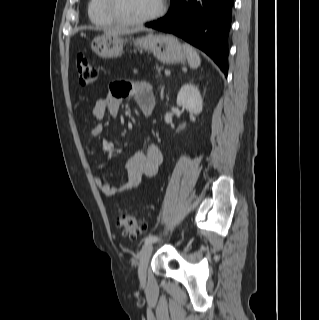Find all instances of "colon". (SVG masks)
<instances>
[{"instance_id": "obj_1", "label": "colon", "mask_w": 319, "mask_h": 320, "mask_svg": "<svg viewBox=\"0 0 319 320\" xmlns=\"http://www.w3.org/2000/svg\"><path fill=\"white\" fill-rule=\"evenodd\" d=\"M76 70L79 82L84 85H91L97 78V71L88 58L80 53L76 57ZM116 224L122 229L126 237L134 238L143 235L147 231V225L142 219H138L130 211H121L115 216Z\"/></svg>"}]
</instances>
